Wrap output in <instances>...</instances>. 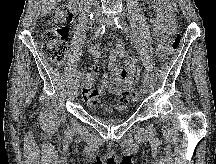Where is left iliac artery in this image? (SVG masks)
<instances>
[{"instance_id": "44dca946", "label": "left iliac artery", "mask_w": 216, "mask_h": 164, "mask_svg": "<svg viewBox=\"0 0 216 164\" xmlns=\"http://www.w3.org/2000/svg\"><path fill=\"white\" fill-rule=\"evenodd\" d=\"M114 21H115L116 26L119 29H121L124 32H128L129 27H128L127 23L124 20L116 18ZM142 77H144V79H147L148 78L147 72H142Z\"/></svg>"}]
</instances>
